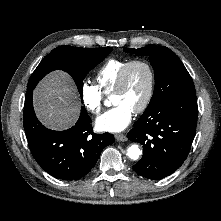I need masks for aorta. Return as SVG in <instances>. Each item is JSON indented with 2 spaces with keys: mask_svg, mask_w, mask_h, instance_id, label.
Instances as JSON below:
<instances>
[{
  "mask_svg": "<svg viewBox=\"0 0 221 221\" xmlns=\"http://www.w3.org/2000/svg\"><path fill=\"white\" fill-rule=\"evenodd\" d=\"M141 155V150L138 145L133 144L127 149V156L132 160H137Z\"/></svg>",
  "mask_w": 221,
  "mask_h": 221,
  "instance_id": "obj_1",
  "label": "aorta"
}]
</instances>
